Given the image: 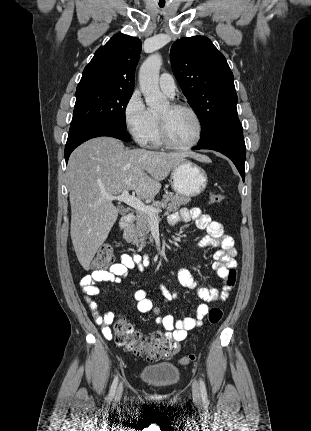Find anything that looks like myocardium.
<instances>
[{
    "instance_id": "obj_1",
    "label": "myocardium",
    "mask_w": 311,
    "mask_h": 431,
    "mask_svg": "<svg viewBox=\"0 0 311 431\" xmlns=\"http://www.w3.org/2000/svg\"><path fill=\"white\" fill-rule=\"evenodd\" d=\"M169 106H170L172 111L185 110V111L192 113L195 116V118L197 119L198 126H199V132H198L196 139L193 142L186 144V145L178 144L170 136L167 119L158 115V117H157L158 118V131H159V139H160L161 143L164 144L165 146H168L170 148L177 149V150H188V149H191V148L197 146L200 143V141L202 140V138L204 136V132H205L204 121H203V118L200 115V113L194 107H192L188 104H184V103H172Z\"/></svg>"
}]
</instances>
